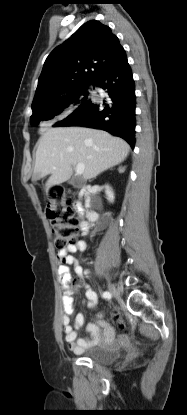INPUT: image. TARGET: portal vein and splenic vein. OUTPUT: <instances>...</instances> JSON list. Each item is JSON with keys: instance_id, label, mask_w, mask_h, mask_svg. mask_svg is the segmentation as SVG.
I'll use <instances>...</instances> for the list:
<instances>
[{"instance_id": "18ae733b", "label": "portal vein and splenic vein", "mask_w": 187, "mask_h": 415, "mask_svg": "<svg viewBox=\"0 0 187 415\" xmlns=\"http://www.w3.org/2000/svg\"><path fill=\"white\" fill-rule=\"evenodd\" d=\"M84 169H85L84 164H82V163L77 164L76 167H75L76 174L77 175L83 174Z\"/></svg>"}]
</instances>
